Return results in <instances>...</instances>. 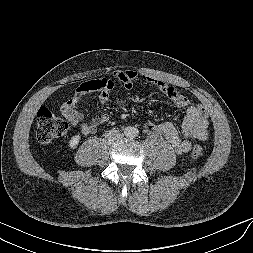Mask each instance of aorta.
Returning a JSON list of instances; mask_svg holds the SVG:
<instances>
[{"label":"aorta","instance_id":"obj_1","mask_svg":"<svg viewBox=\"0 0 253 253\" xmlns=\"http://www.w3.org/2000/svg\"><path fill=\"white\" fill-rule=\"evenodd\" d=\"M136 130L137 129L134 127H128L126 133L128 136H134L136 135V132H137Z\"/></svg>","mask_w":253,"mask_h":253}]
</instances>
